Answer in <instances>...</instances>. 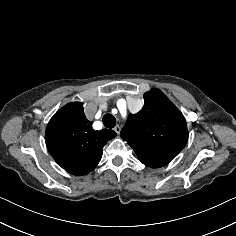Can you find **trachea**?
Wrapping results in <instances>:
<instances>
[{
  "label": "trachea",
  "instance_id": "3493384b",
  "mask_svg": "<svg viewBox=\"0 0 236 236\" xmlns=\"http://www.w3.org/2000/svg\"><path fill=\"white\" fill-rule=\"evenodd\" d=\"M102 121L106 128H114L116 125V119L110 113L105 114Z\"/></svg>",
  "mask_w": 236,
  "mask_h": 236
}]
</instances>
